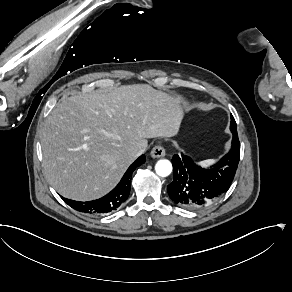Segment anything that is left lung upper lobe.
Wrapping results in <instances>:
<instances>
[{"label":"left lung upper lobe","instance_id":"1","mask_svg":"<svg viewBox=\"0 0 292 292\" xmlns=\"http://www.w3.org/2000/svg\"><path fill=\"white\" fill-rule=\"evenodd\" d=\"M230 130H231V132L233 134L232 142H238L239 139H238V134H237V126H236V122H235V120H234L232 115H231Z\"/></svg>","mask_w":292,"mask_h":292}]
</instances>
